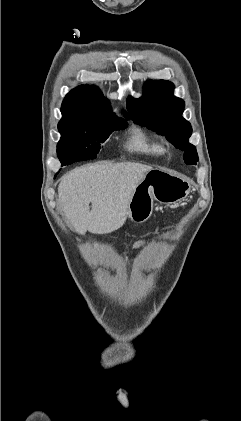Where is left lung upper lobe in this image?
Instances as JSON below:
<instances>
[{
    "label": "left lung upper lobe",
    "mask_w": 241,
    "mask_h": 421,
    "mask_svg": "<svg viewBox=\"0 0 241 421\" xmlns=\"http://www.w3.org/2000/svg\"><path fill=\"white\" fill-rule=\"evenodd\" d=\"M139 99L129 97L131 118L141 126L165 136L176 148L184 151L186 164L196 165L199 160L196 147L188 142L192 127L182 117L184 101L173 95L174 85L169 81H149Z\"/></svg>",
    "instance_id": "1"
}]
</instances>
